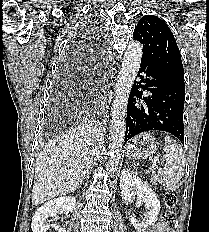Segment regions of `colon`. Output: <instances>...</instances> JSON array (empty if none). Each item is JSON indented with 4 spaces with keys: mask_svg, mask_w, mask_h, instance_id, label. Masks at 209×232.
<instances>
[{
    "mask_svg": "<svg viewBox=\"0 0 209 232\" xmlns=\"http://www.w3.org/2000/svg\"><path fill=\"white\" fill-rule=\"evenodd\" d=\"M165 203L167 206V211L161 215L160 223L167 225L172 220L174 210L176 208V204H177L176 195L172 192L167 193L165 196Z\"/></svg>",
    "mask_w": 209,
    "mask_h": 232,
    "instance_id": "1",
    "label": "colon"
}]
</instances>
